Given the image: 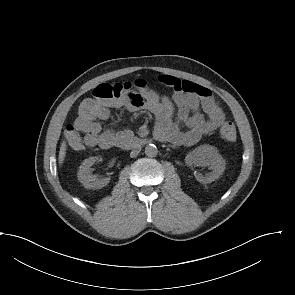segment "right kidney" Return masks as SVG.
<instances>
[{"label": "right kidney", "mask_w": 295, "mask_h": 295, "mask_svg": "<svg viewBox=\"0 0 295 295\" xmlns=\"http://www.w3.org/2000/svg\"><path fill=\"white\" fill-rule=\"evenodd\" d=\"M98 160L97 157H89L83 161L78 171V180L83 184L85 188L89 189H101L105 187L110 178H97L96 175L91 173V166Z\"/></svg>", "instance_id": "ca27d5eb"}]
</instances>
